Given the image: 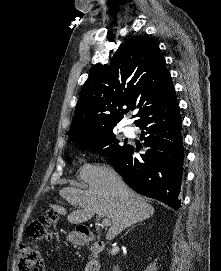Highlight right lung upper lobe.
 I'll list each match as a JSON object with an SVG mask.
<instances>
[{
	"label": "right lung upper lobe",
	"mask_w": 221,
	"mask_h": 271,
	"mask_svg": "<svg viewBox=\"0 0 221 271\" xmlns=\"http://www.w3.org/2000/svg\"><path fill=\"white\" fill-rule=\"evenodd\" d=\"M177 101L157 43L138 36L122 43L110 65L99 64L82 86L68 137L70 140L112 129L130 109L135 124ZM123 106H127L123 109Z\"/></svg>",
	"instance_id": "right-lung-upper-lobe-1"
}]
</instances>
